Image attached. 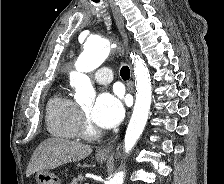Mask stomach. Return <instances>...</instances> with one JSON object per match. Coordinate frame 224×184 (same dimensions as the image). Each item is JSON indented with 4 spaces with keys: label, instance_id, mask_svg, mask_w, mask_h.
<instances>
[{
    "label": "stomach",
    "instance_id": "stomach-1",
    "mask_svg": "<svg viewBox=\"0 0 224 184\" xmlns=\"http://www.w3.org/2000/svg\"><path fill=\"white\" fill-rule=\"evenodd\" d=\"M96 160L102 163L107 160V157L96 156ZM35 179L37 184H61L59 177L47 170L36 172Z\"/></svg>",
    "mask_w": 224,
    "mask_h": 184
}]
</instances>
